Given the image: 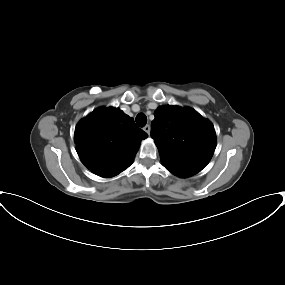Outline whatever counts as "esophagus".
I'll return each instance as SVG.
<instances>
[{
	"mask_svg": "<svg viewBox=\"0 0 285 285\" xmlns=\"http://www.w3.org/2000/svg\"><path fill=\"white\" fill-rule=\"evenodd\" d=\"M143 130H144L148 135H150L151 127H150L149 124L145 125L144 128H143Z\"/></svg>",
	"mask_w": 285,
	"mask_h": 285,
	"instance_id": "1",
	"label": "esophagus"
}]
</instances>
